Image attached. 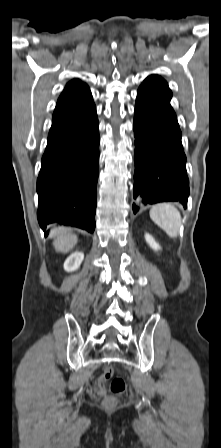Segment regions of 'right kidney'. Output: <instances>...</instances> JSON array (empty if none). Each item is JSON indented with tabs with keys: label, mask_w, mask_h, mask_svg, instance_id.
<instances>
[{
	"label": "right kidney",
	"mask_w": 221,
	"mask_h": 448,
	"mask_svg": "<svg viewBox=\"0 0 221 448\" xmlns=\"http://www.w3.org/2000/svg\"><path fill=\"white\" fill-rule=\"evenodd\" d=\"M84 259V254L82 252L72 253L64 262V270L67 272L75 271L79 268L80 264Z\"/></svg>",
	"instance_id": "right-kidney-1"
}]
</instances>
